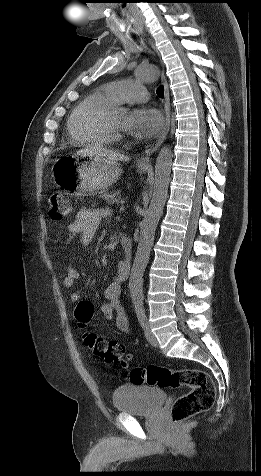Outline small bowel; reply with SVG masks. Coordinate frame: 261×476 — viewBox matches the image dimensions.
I'll use <instances>...</instances> for the list:
<instances>
[{
    "label": "small bowel",
    "mask_w": 261,
    "mask_h": 476,
    "mask_svg": "<svg viewBox=\"0 0 261 476\" xmlns=\"http://www.w3.org/2000/svg\"><path fill=\"white\" fill-rule=\"evenodd\" d=\"M109 215L106 209L84 208L77 212L75 219L67 227V236L64 240V247L69 248L72 241L79 237L84 245H89L96 236V233L104 218ZM129 273L125 272L122 263L119 264L117 272L110 284L104 291L106 302L100 307L103 317L115 325L122 333H130L129 319L122 304V285L127 280ZM79 278V272L72 266H68L67 274L63 279V285L71 288ZM73 303L81 301V295L74 292L70 295Z\"/></svg>",
    "instance_id": "1"
}]
</instances>
